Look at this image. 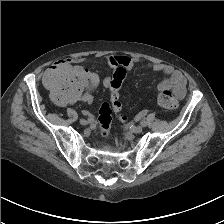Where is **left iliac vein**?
Segmentation results:
<instances>
[{
    "label": "left iliac vein",
    "instance_id": "4c4485c4",
    "mask_svg": "<svg viewBox=\"0 0 224 224\" xmlns=\"http://www.w3.org/2000/svg\"><path fill=\"white\" fill-rule=\"evenodd\" d=\"M142 130H143L142 126H135L133 127L132 132L138 134L141 133Z\"/></svg>",
    "mask_w": 224,
    "mask_h": 224
}]
</instances>
